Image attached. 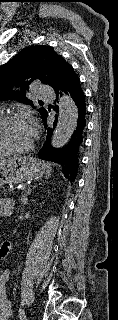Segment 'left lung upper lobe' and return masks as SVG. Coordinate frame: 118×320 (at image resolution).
<instances>
[{
  "label": "left lung upper lobe",
  "mask_w": 118,
  "mask_h": 320,
  "mask_svg": "<svg viewBox=\"0 0 118 320\" xmlns=\"http://www.w3.org/2000/svg\"><path fill=\"white\" fill-rule=\"evenodd\" d=\"M72 70V66L50 46L27 47L0 66V100L14 96L16 100L32 105L25 94L32 81L40 80L57 90ZM14 86H21L23 91L10 92ZM38 112L42 117L47 113L44 108Z\"/></svg>",
  "instance_id": "5c2ea615"
}]
</instances>
